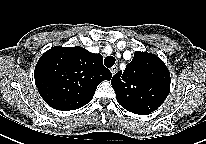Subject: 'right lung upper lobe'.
<instances>
[{"mask_svg":"<svg viewBox=\"0 0 206 144\" xmlns=\"http://www.w3.org/2000/svg\"><path fill=\"white\" fill-rule=\"evenodd\" d=\"M35 83L44 101L61 110H75L89 103L98 84L112 74L101 54L75 47H53L39 59Z\"/></svg>","mask_w":206,"mask_h":144,"instance_id":"right-lung-upper-lobe-1","label":"right lung upper lobe"}]
</instances>
